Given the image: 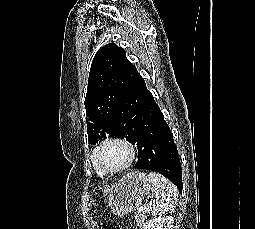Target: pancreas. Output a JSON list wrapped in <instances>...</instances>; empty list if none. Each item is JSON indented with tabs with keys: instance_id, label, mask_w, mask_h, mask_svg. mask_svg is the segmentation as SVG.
<instances>
[{
	"instance_id": "1",
	"label": "pancreas",
	"mask_w": 255,
	"mask_h": 229,
	"mask_svg": "<svg viewBox=\"0 0 255 229\" xmlns=\"http://www.w3.org/2000/svg\"><path fill=\"white\" fill-rule=\"evenodd\" d=\"M145 212H146L145 210H142V211H138L136 213L135 220H136L139 227H141L145 222V219H146V213Z\"/></svg>"
}]
</instances>
